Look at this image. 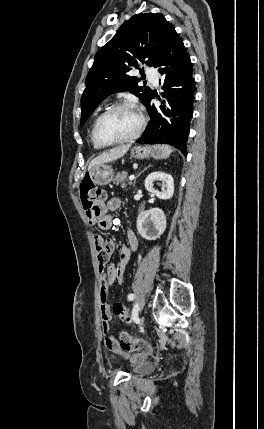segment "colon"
Here are the masks:
<instances>
[{
	"label": "colon",
	"mask_w": 264,
	"mask_h": 429,
	"mask_svg": "<svg viewBox=\"0 0 264 429\" xmlns=\"http://www.w3.org/2000/svg\"><path fill=\"white\" fill-rule=\"evenodd\" d=\"M80 197L83 204V207L86 213L94 214L99 206L105 201L104 191L94 185L90 179H85L80 185ZM113 313L123 322L129 323L131 321L128 308L117 302L112 307ZM120 344L124 350H143L145 349L146 343L144 340L139 338H130L125 333H121Z\"/></svg>",
	"instance_id": "colon-1"
}]
</instances>
